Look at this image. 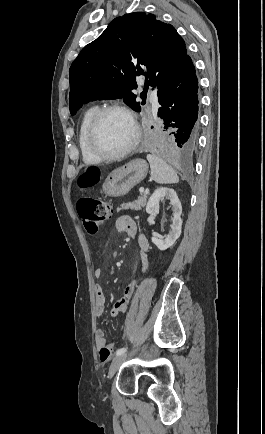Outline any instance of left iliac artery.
I'll return each mask as SVG.
<instances>
[{"label": "left iliac artery", "instance_id": "left-iliac-artery-1", "mask_svg": "<svg viewBox=\"0 0 265 434\" xmlns=\"http://www.w3.org/2000/svg\"><path fill=\"white\" fill-rule=\"evenodd\" d=\"M126 350H127V347H122V348L118 349V350L116 351V356H119V355H121V354H124V353L126 352Z\"/></svg>", "mask_w": 265, "mask_h": 434}]
</instances>
